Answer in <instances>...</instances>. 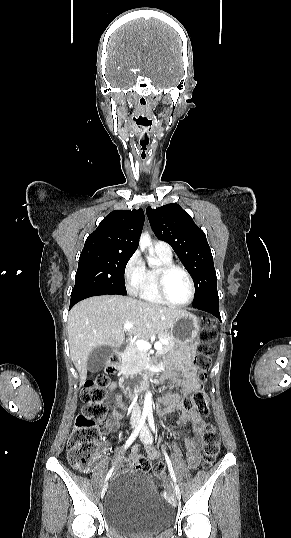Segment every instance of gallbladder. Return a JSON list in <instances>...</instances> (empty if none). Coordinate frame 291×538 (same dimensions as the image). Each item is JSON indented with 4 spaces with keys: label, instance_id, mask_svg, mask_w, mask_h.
Returning a JSON list of instances; mask_svg holds the SVG:
<instances>
[{
    "label": "gallbladder",
    "instance_id": "obj_1",
    "mask_svg": "<svg viewBox=\"0 0 291 538\" xmlns=\"http://www.w3.org/2000/svg\"><path fill=\"white\" fill-rule=\"evenodd\" d=\"M112 353L113 348L110 346L95 348L88 356L87 369L94 373L102 370Z\"/></svg>",
    "mask_w": 291,
    "mask_h": 538
}]
</instances>
